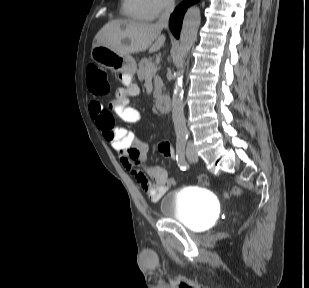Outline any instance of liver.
<instances>
[{
	"label": "liver",
	"mask_w": 309,
	"mask_h": 288,
	"mask_svg": "<svg viewBox=\"0 0 309 288\" xmlns=\"http://www.w3.org/2000/svg\"><path fill=\"white\" fill-rule=\"evenodd\" d=\"M157 24L129 20H111L96 34L93 47L105 45L117 53L129 55L149 49L158 51L165 43Z\"/></svg>",
	"instance_id": "1"
}]
</instances>
